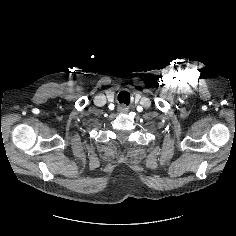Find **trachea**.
<instances>
[{
	"label": "trachea",
	"mask_w": 236,
	"mask_h": 236,
	"mask_svg": "<svg viewBox=\"0 0 236 236\" xmlns=\"http://www.w3.org/2000/svg\"><path fill=\"white\" fill-rule=\"evenodd\" d=\"M119 102H121V103H125V102H123V101H121V94H119ZM125 104H127V103H125Z\"/></svg>",
	"instance_id": "obj_1"
}]
</instances>
